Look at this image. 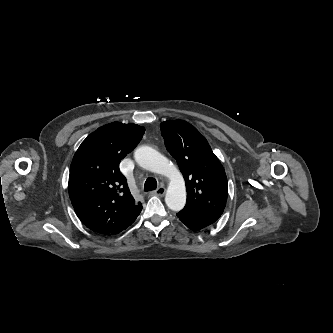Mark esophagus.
<instances>
[{"label": "esophagus", "mask_w": 333, "mask_h": 333, "mask_svg": "<svg viewBox=\"0 0 333 333\" xmlns=\"http://www.w3.org/2000/svg\"><path fill=\"white\" fill-rule=\"evenodd\" d=\"M166 192V189L164 187H159L157 190H155L154 192H152L153 195H157V196H163Z\"/></svg>", "instance_id": "1"}]
</instances>
